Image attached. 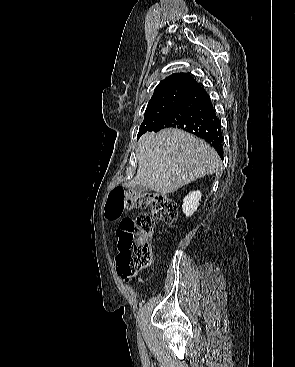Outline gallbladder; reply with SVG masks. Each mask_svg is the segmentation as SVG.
I'll return each mask as SVG.
<instances>
[{
	"mask_svg": "<svg viewBox=\"0 0 295 367\" xmlns=\"http://www.w3.org/2000/svg\"><path fill=\"white\" fill-rule=\"evenodd\" d=\"M147 190V188L143 185H136L134 188H133V192L136 194V195H140L142 194L143 192H145Z\"/></svg>",
	"mask_w": 295,
	"mask_h": 367,
	"instance_id": "obj_1",
	"label": "gallbladder"
}]
</instances>
